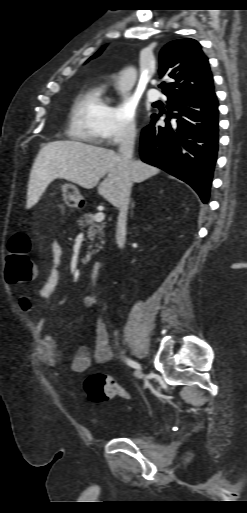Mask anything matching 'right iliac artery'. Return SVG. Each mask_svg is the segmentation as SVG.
I'll list each match as a JSON object with an SVG mask.
<instances>
[{"label":"right iliac artery","mask_w":247,"mask_h":513,"mask_svg":"<svg viewBox=\"0 0 247 513\" xmlns=\"http://www.w3.org/2000/svg\"><path fill=\"white\" fill-rule=\"evenodd\" d=\"M125 360H126V363H127L130 367L135 368V369H140V365H139L137 362H135V361H133V360H131V359H129V358H126Z\"/></svg>","instance_id":"right-iliac-artery-1"}]
</instances>
